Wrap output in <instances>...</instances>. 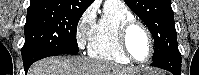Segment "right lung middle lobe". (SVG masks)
I'll return each mask as SVG.
<instances>
[{"mask_svg": "<svg viewBox=\"0 0 199 75\" xmlns=\"http://www.w3.org/2000/svg\"><path fill=\"white\" fill-rule=\"evenodd\" d=\"M83 13L60 6L29 7L22 55L35 50H42L46 56L77 54L76 29Z\"/></svg>", "mask_w": 199, "mask_h": 75, "instance_id": "right-lung-middle-lobe-1", "label": "right lung middle lobe"}]
</instances>
